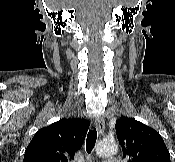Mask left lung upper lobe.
<instances>
[{
  "mask_svg": "<svg viewBox=\"0 0 175 162\" xmlns=\"http://www.w3.org/2000/svg\"><path fill=\"white\" fill-rule=\"evenodd\" d=\"M115 128L128 162H171L162 137L153 128L128 117L117 120Z\"/></svg>",
  "mask_w": 175,
  "mask_h": 162,
  "instance_id": "5c2ea615",
  "label": "left lung upper lobe"
}]
</instances>
